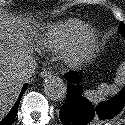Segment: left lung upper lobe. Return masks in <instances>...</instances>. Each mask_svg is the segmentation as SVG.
<instances>
[{
    "label": "left lung upper lobe",
    "mask_w": 125,
    "mask_h": 125,
    "mask_svg": "<svg viewBox=\"0 0 125 125\" xmlns=\"http://www.w3.org/2000/svg\"><path fill=\"white\" fill-rule=\"evenodd\" d=\"M119 28H120L121 32L125 35V24L121 22L119 25Z\"/></svg>",
    "instance_id": "5c2ea615"
}]
</instances>
